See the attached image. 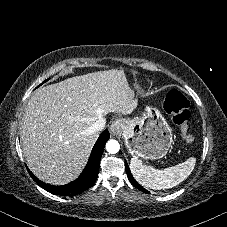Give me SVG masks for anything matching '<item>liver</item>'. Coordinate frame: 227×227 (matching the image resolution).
Wrapping results in <instances>:
<instances>
[{"mask_svg": "<svg viewBox=\"0 0 227 227\" xmlns=\"http://www.w3.org/2000/svg\"><path fill=\"white\" fill-rule=\"evenodd\" d=\"M137 106L123 70L68 78L37 89L21 121L23 153L40 180L64 185L85 167L98 132L93 124L109 113L131 114Z\"/></svg>", "mask_w": 227, "mask_h": 227, "instance_id": "1", "label": "liver"}]
</instances>
